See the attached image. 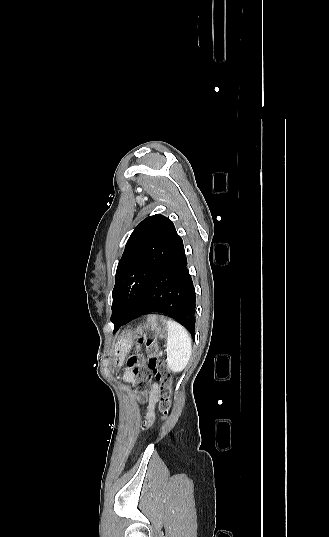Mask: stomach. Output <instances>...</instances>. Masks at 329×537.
<instances>
[{
    "label": "stomach",
    "mask_w": 329,
    "mask_h": 537,
    "mask_svg": "<svg viewBox=\"0 0 329 537\" xmlns=\"http://www.w3.org/2000/svg\"><path fill=\"white\" fill-rule=\"evenodd\" d=\"M168 330V320L162 315H149L146 323L138 327V333L145 335L152 332L158 338H165ZM133 335L132 331H127L114 344L112 353L115 366H121L124 363L132 347Z\"/></svg>",
    "instance_id": "0dacf381"
}]
</instances>
